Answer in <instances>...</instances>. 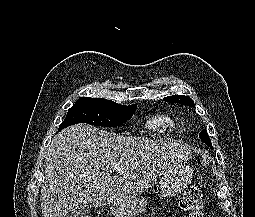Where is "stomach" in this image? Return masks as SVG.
<instances>
[{
    "label": "stomach",
    "instance_id": "stomach-1",
    "mask_svg": "<svg viewBox=\"0 0 255 217\" xmlns=\"http://www.w3.org/2000/svg\"><path fill=\"white\" fill-rule=\"evenodd\" d=\"M193 177V170L185 163L159 177V187L163 195L175 196L184 190ZM147 201L134 198L111 203L110 213L114 217H136L146 210Z\"/></svg>",
    "mask_w": 255,
    "mask_h": 217
}]
</instances>
